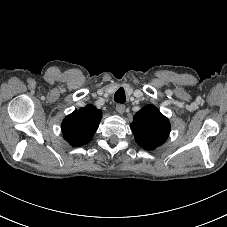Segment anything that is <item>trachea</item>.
I'll return each instance as SVG.
<instances>
[{"mask_svg":"<svg viewBox=\"0 0 227 227\" xmlns=\"http://www.w3.org/2000/svg\"><path fill=\"white\" fill-rule=\"evenodd\" d=\"M114 100L117 103H125L126 101V96H125V91L123 88H120L116 91L115 95H114Z\"/></svg>","mask_w":227,"mask_h":227,"instance_id":"trachea-1","label":"trachea"}]
</instances>
